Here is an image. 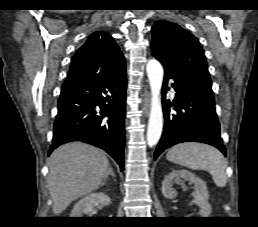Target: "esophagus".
Returning <instances> with one entry per match:
<instances>
[{
  "label": "esophagus",
  "instance_id": "obj_1",
  "mask_svg": "<svg viewBox=\"0 0 258 227\" xmlns=\"http://www.w3.org/2000/svg\"><path fill=\"white\" fill-rule=\"evenodd\" d=\"M142 110L145 116H148L150 111V95L147 90H145L143 95Z\"/></svg>",
  "mask_w": 258,
  "mask_h": 227
}]
</instances>
